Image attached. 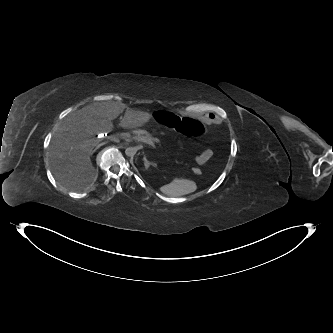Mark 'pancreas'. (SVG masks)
<instances>
[{
  "mask_svg": "<svg viewBox=\"0 0 333 333\" xmlns=\"http://www.w3.org/2000/svg\"><path fill=\"white\" fill-rule=\"evenodd\" d=\"M129 136H130V135H129ZM141 137H143V138H145V139H147V140H150V141H152V142H154V143H159V139L153 137L149 132L144 131V130H140V129L136 130V131H135V136H134L133 138H134L136 141H138V139L141 138Z\"/></svg>",
  "mask_w": 333,
  "mask_h": 333,
  "instance_id": "obj_1",
  "label": "pancreas"
}]
</instances>
